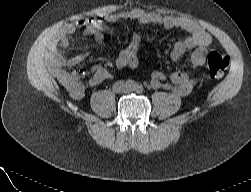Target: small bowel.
Masks as SVG:
<instances>
[{
  "label": "small bowel",
  "instance_id": "1",
  "mask_svg": "<svg viewBox=\"0 0 251 192\" xmlns=\"http://www.w3.org/2000/svg\"><path fill=\"white\" fill-rule=\"evenodd\" d=\"M119 20H133L143 24H154L166 29H181L190 34L184 41L176 42L171 52V58L178 61L186 52H191L192 72H174L167 76L161 71H155L151 76V86L154 88H169L177 96L188 95L195 86L193 72L205 63L207 48L211 44L210 35L196 22L181 17L161 16L147 13L143 10H132L122 13L104 12L87 20L65 24L47 42V54L52 61V67L69 90L74 99L84 96L86 89L101 84L111 77V73L102 67H96L91 71L90 77L82 81V71L67 72L65 67H73L80 64L86 54L79 53L70 58L65 57L60 48L68 46V38L77 28H84L87 35L101 37L104 33V24L115 23ZM139 39L136 37L118 55L116 64L120 68H135L138 65ZM169 79L173 86L164 84Z\"/></svg>",
  "mask_w": 251,
  "mask_h": 192
}]
</instances>
